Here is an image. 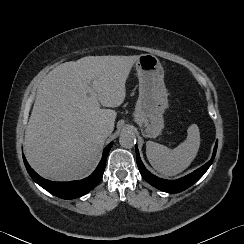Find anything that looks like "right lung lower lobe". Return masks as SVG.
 <instances>
[{
  "mask_svg": "<svg viewBox=\"0 0 244 244\" xmlns=\"http://www.w3.org/2000/svg\"><path fill=\"white\" fill-rule=\"evenodd\" d=\"M113 145V142L107 145L104 149L103 156L101 161L99 162L96 170L87 178L78 180V181H70V182H53L46 180L39 176L27 163L24 155L23 160L25 167L32 177V179L39 184L42 188L50 192L51 194L63 198V199H74L80 196L87 194L94 187H96L100 180L103 177V173L105 170L106 159L108 153Z\"/></svg>",
  "mask_w": 244,
  "mask_h": 244,
  "instance_id": "98d812e1",
  "label": "right lung lower lobe"
}]
</instances>
